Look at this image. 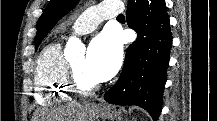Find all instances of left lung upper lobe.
I'll return each instance as SVG.
<instances>
[{
	"label": "left lung upper lobe",
	"mask_w": 217,
	"mask_h": 121,
	"mask_svg": "<svg viewBox=\"0 0 217 121\" xmlns=\"http://www.w3.org/2000/svg\"><path fill=\"white\" fill-rule=\"evenodd\" d=\"M79 0H51L37 23V34L35 37V49L54 27L57 21L68 13Z\"/></svg>",
	"instance_id": "obj_1"
}]
</instances>
